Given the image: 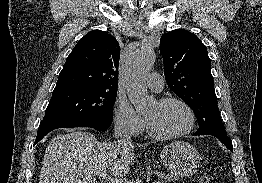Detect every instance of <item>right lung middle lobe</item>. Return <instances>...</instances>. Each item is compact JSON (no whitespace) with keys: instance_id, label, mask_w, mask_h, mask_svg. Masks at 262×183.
Segmentation results:
<instances>
[{"instance_id":"dd1d6c3e","label":"right lung middle lobe","mask_w":262,"mask_h":183,"mask_svg":"<svg viewBox=\"0 0 262 183\" xmlns=\"http://www.w3.org/2000/svg\"><path fill=\"white\" fill-rule=\"evenodd\" d=\"M117 90L103 88L53 92L42 122L71 119L112 121Z\"/></svg>"}]
</instances>
